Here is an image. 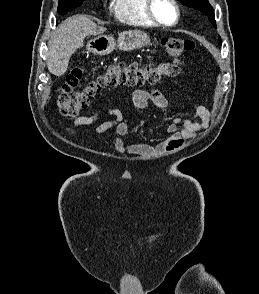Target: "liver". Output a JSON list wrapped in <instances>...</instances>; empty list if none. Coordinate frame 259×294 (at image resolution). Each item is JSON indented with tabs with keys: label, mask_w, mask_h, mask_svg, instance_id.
I'll return each instance as SVG.
<instances>
[{
	"label": "liver",
	"mask_w": 259,
	"mask_h": 294,
	"mask_svg": "<svg viewBox=\"0 0 259 294\" xmlns=\"http://www.w3.org/2000/svg\"><path fill=\"white\" fill-rule=\"evenodd\" d=\"M106 28L95 24L88 16L78 14L63 21L48 42L47 67L55 76H62L67 71L70 57L83 47L84 38L97 35Z\"/></svg>",
	"instance_id": "1"
}]
</instances>
